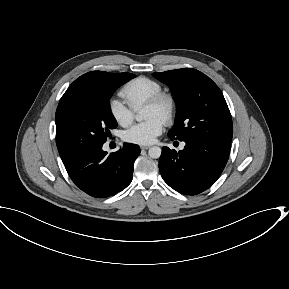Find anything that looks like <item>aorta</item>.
<instances>
[{"label": "aorta", "mask_w": 289, "mask_h": 289, "mask_svg": "<svg viewBox=\"0 0 289 289\" xmlns=\"http://www.w3.org/2000/svg\"><path fill=\"white\" fill-rule=\"evenodd\" d=\"M144 119V116L142 113H139L137 116H136V120L137 121H142ZM161 148L158 147V146H153L149 149L148 151V154L151 158H154V159H157L161 156Z\"/></svg>", "instance_id": "obj_1"}]
</instances>
